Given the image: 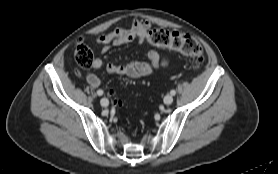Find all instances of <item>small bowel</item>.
Returning <instances> with one entry per match:
<instances>
[{"instance_id":"obj_1","label":"small bowel","mask_w":278,"mask_h":174,"mask_svg":"<svg viewBox=\"0 0 278 174\" xmlns=\"http://www.w3.org/2000/svg\"><path fill=\"white\" fill-rule=\"evenodd\" d=\"M151 28L149 21L145 19H135L132 23L125 27H119L112 32L99 35L95 42L102 46V54L107 53L110 48L120 46L132 41H138L140 44L146 41L148 32ZM147 61H131L126 65L109 63L106 70L109 74L126 75L133 79H138L152 74L160 67H166L169 63L167 57H163L155 49H150L145 53ZM103 61L101 58H95L92 67L96 70L101 69ZM86 80L93 88L101 85L100 78L94 73H87Z\"/></svg>"}]
</instances>
